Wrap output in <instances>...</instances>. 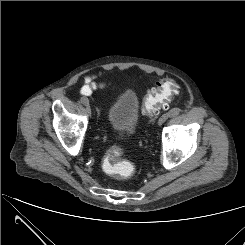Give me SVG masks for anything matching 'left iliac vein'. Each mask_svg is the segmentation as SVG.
I'll list each match as a JSON object with an SVG mask.
<instances>
[{
	"label": "left iliac vein",
	"mask_w": 245,
	"mask_h": 245,
	"mask_svg": "<svg viewBox=\"0 0 245 245\" xmlns=\"http://www.w3.org/2000/svg\"><path fill=\"white\" fill-rule=\"evenodd\" d=\"M169 117H170L169 113L162 115L158 120V125L161 126L162 124H164L168 120Z\"/></svg>",
	"instance_id": "obj_1"
}]
</instances>
